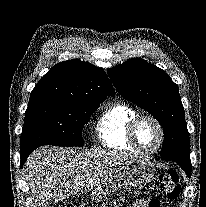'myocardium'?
Wrapping results in <instances>:
<instances>
[{"label": "myocardium", "mask_w": 206, "mask_h": 207, "mask_svg": "<svg viewBox=\"0 0 206 207\" xmlns=\"http://www.w3.org/2000/svg\"><path fill=\"white\" fill-rule=\"evenodd\" d=\"M150 120L152 121L158 128L159 133H160V140L157 144V146L151 150H146L144 148H142L137 140V127L140 124L141 121L143 120ZM127 136H128V141L130 143V145L139 153L143 154V155H153L156 154L164 145L165 143V139H166V133H165V129L163 124L161 123V121L156 118L153 115L150 114H138L128 125V129H127Z\"/></svg>", "instance_id": "1"}]
</instances>
